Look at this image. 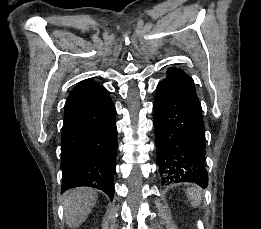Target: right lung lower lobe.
Masks as SVG:
<instances>
[{"label": "right lung lower lobe", "mask_w": 261, "mask_h": 229, "mask_svg": "<svg viewBox=\"0 0 261 229\" xmlns=\"http://www.w3.org/2000/svg\"><path fill=\"white\" fill-rule=\"evenodd\" d=\"M115 106L109 92L85 80L70 93L61 134L62 192L92 187L114 196L117 152Z\"/></svg>", "instance_id": "obj_1"}]
</instances>
